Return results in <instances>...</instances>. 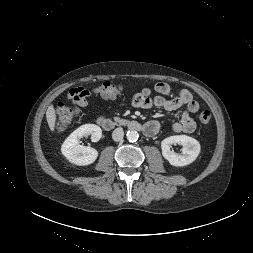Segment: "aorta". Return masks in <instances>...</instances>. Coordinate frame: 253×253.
Listing matches in <instances>:
<instances>
[{
	"instance_id": "obj_1",
	"label": "aorta",
	"mask_w": 253,
	"mask_h": 253,
	"mask_svg": "<svg viewBox=\"0 0 253 253\" xmlns=\"http://www.w3.org/2000/svg\"><path fill=\"white\" fill-rule=\"evenodd\" d=\"M127 136V139L130 141V142H135L138 140V132L135 131V130H129L126 134Z\"/></svg>"
}]
</instances>
